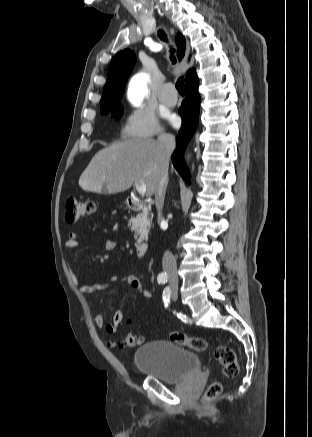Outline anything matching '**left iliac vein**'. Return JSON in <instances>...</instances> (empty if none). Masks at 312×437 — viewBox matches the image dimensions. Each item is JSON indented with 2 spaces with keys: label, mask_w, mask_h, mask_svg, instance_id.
<instances>
[{
  "label": "left iliac vein",
  "mask_w": 312,
  "mask_h": 437,
  "mask_svg": "<svg viewBox=\"0 0 312 437\" xmlns=\"http://www.w3.org/2000/svg\"><path fill=\"white\" fill-rule=\"evenodd\" d=\"M172 298H173L174 300L177 299V291H174V292H173V294H172Z\"/></svg>",
  "instance_id": "4c4485c4"
}]
</instances>
